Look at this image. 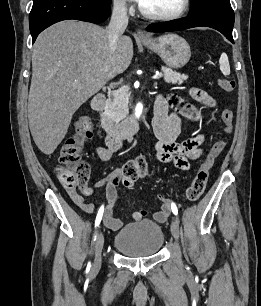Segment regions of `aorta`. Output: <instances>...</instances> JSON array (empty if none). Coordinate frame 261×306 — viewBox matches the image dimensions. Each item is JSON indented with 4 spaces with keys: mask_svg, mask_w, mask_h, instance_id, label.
I'll return each mask as SVG.
<instances>
[{
    "mask_svg": "<svg viewBox=\"0 0 261 306\" xmlns=\"http://www.w3.org/2000/svg\"><path fill=\"white\" fill-rule=\"evenodd\" d=\"M143 107L141 104H138L135 108V116L139 118L142 114Z\"/></svg>",
    "mask_w": 261,
    "mask_h": 306,
    "instance_id": "762f6f07",
    "label": "aorta"
}]
</instances>
